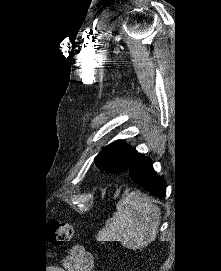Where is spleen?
<instances>
[{"mask_svg": "<svg viewBox=\"0 0 221 271\" xmlns=\"http://www.w3.org/2000/svg\"><path fill=\"white\" fill-rule=\"evenodd\" d=\"M161 221V211L141 191H131L117 203L98 233V241H120L129 249H141L154 241Z\"/></svg>", "mask_w": 221, "mask_h": 271, "instance_id": "obj_1", "label": "spleen"}]
</instances>
